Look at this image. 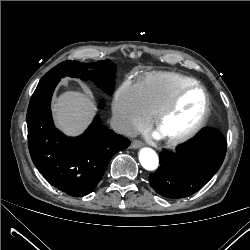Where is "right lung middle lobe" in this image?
<instances>
[{
  "instance_id": "1",
  "label": "right lung middle lobe",
  "mask_w": 250,
  "mask_h": 250,
  "mask_svg": "<svg viewBox=\"0 0 250 250\" xmlns=\"http://www.w3.org/2000/svg\"><path fill=\"white\" fill-rule=\"evenodd\" d=\"M115 74L116 66L109 60L97 63H79L69 60L58 64L47 72L40 80V83L50 79H61L65 76L77 77L83 80L90 78L111 95L114 91Z\"/></svg>"
}]
</instances>
